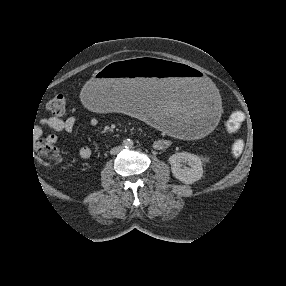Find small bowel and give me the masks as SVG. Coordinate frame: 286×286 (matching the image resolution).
<instances>
[{
	"label": "small bowel",
	"mask_w": 286,
	"mask_h": 286,
	"mask_svg": "<svg viewBox=\"0 0 286 286\" xmlns=\"http://www.w3.org/2000/svg\"><path fill=\"white\" fill-rule=\"evenodd\" d=\"M77 124V119L75 117L59 118V117H47L44 118L35 131V135H41L43 128L49 127L55 132H71ZM92 125H96L97 121L95 119L91 120ZM48 139L51 142H56L58 137L56 134H50ZM170 146V140L167 138L159 139L155 142V147L157 149H167ZM79 155L82 159H88L92 155V150L88 146H83L79 150Z\"/></svg>",
	"instance_id": "c3829d8e"
}]
</instances>
